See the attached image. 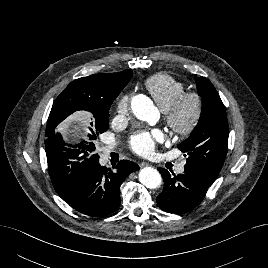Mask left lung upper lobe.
Here are the masks:
<instances>
[{"label":"left lung upper lobe","mask_w":268,"mask_h":268,"mask_svg":"<svg viewBox=\"0 0 268 268\" xmlns=\"http://www.w3.org/2000/svg\"><path fill=\"white\" fill-rule=\"evenodd\" d=\"M196 85L202 97L201 116L190 137L181 142L178 148L188 154L186 168L194 169L215 181L224 164L228 147L226 110L208 79L199 77Z\"/></svg>","instance_id":"obj_1"}]
</instances>
